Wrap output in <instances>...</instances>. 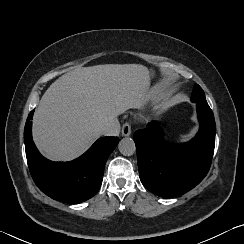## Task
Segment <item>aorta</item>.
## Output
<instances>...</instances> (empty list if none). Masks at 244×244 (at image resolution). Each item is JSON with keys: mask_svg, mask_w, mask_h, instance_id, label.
Returning a JSON list of instances; mask_svg holds the SVG:
<instances>
[{"mask_svg": "<svg viewBox=\"0 0 244 244\" xmlns=\"http://www.w3.org/2000/svg\"><path fill=\"white\" fill-rule=\"evenodd\" d=\"M118 148L123 155H131L135 152L136 149L134 140L130 137H125L121 139Z\"/></svg>", "mask_w": 244, "mask_h": 244, "instance_id": "1", "label": "aorta"}]
</instances>
